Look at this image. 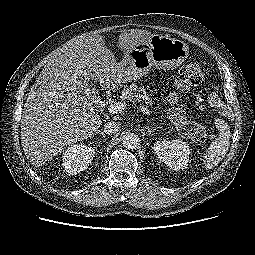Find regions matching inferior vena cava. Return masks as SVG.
Masks as SVG:
<instances>
[{"instance_id":"602c4592","label":"inferior vena cava","mask_w":255,"mask_h":255,"mask_svg":"<svg viewBox=\"0 0 255 255\" xmlns=\"http://www.w3.org/2000/svg\"><path fill=\"white\" fill-rule=\"evenodd\" d=\"M119 129L120 124L118 122H107L104 125V132L109 135L117 133Z\"/></svg>"}]
</instances>
